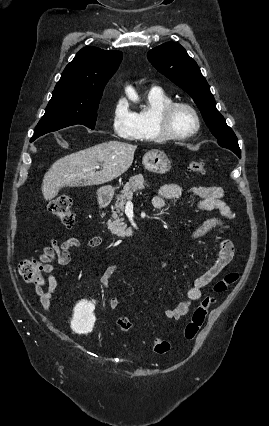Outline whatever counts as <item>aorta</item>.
<instances>
[{"label": "aorta", "mask_w": 269, "mask_h": 426, "mask_svg": "<svg viewBox=\"0 0 269 426\" xmlns=\"http://www.w3.org/2000/svg\"><path fill=\"white\" fill-rule=\"evenodd\" d=\"M125 92H126V94H127V96H128V98L131 100V101H133V102H137L138 100H139V97H138V95H137V93H136V91L134 90V88H132V87H127L126 89H125Z\"/></svg>", "instance_id": "aorta-1"}]
</instances>
